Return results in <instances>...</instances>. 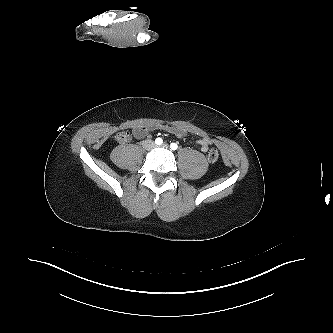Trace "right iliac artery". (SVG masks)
<instances>
[{
    "label": "right iliac artery",
    "mask_w": 333,
    "mask_h": 333,
    "mask_svg": "<svg viewBox=\"0 0 333 333\" xmlns=\"http://www.w3.org/2000/svg\"><path fill=\"white\" fill-rule=\"evenodd\" d=\"M162 143H163L162 138L158 137V138L155 139V144L161 145Z\"/></svg>",
    "instance_id": "82829eb1"
}]
</instances>
